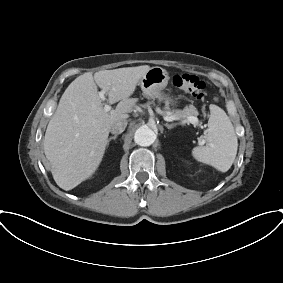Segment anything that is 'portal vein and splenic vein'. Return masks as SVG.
I'll return each instance as SVG.
<instances>
[{
	"mask_svg": "<svg viewBox=\"0 0 283 283\" xmlns=\"http://www.w3.org/2000/svg\"><path fill=\"white\" fill-rule=\"evenodd\" d=\"M105 93H106V90H105V89L101 90V91L98 93V94H99V97H100L103 101L106 100ZM104 110H105V111H110V110H111V106L108 105V104H105ZM164 119H165L166 121H169V122L174 121V120H177V118H176L175 116H166ZM185 122L191 123V124H197V123H198V119H197V117L189 116V117L186 118Z\"/></svg>",
	"mask_w": 283,
	"mask_h": 283,
	"instance_id": "obj_1",
	"label": "portal vein and splenic vein"
}]
</instances>
